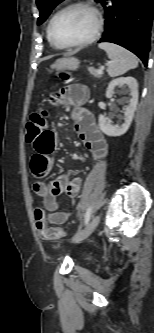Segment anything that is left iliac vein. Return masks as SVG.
<instances>
[{
  "label": "left iliac vein",
  "instance_id": "obj_1",
  "mask_svg": "<svg viewBox=\"0 0 154 333\" xmlns=\"http://www.w3.org/2000/svg\"><path fill=\"white\" fill-rule=\"evenodd\" d=\"M99 222V215L94 216L86 228L72 239V243H79L86 239L95 230Z\"/></svg>",
  "mask_w": 154,
  "mask_h": 333
}]
</instances>
